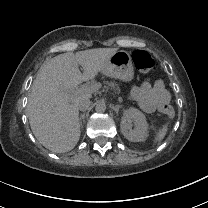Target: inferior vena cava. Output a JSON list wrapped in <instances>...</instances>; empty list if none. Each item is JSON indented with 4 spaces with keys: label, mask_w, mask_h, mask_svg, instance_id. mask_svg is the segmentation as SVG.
Returning <instances> with one entry per match:
<instances>
[{
    "label": "inferior vena cava",
    "mask_w": 208,
    "mask_h": 208,
    "mask_svg": "<svg viewBox=\"0 0 208 208\" xmlns=\"http://www.w3.org/2000/svg\"><path fill=\"white\" fill-rule=\"evenodd\" d=\"M77 104L80 111H85L90 106V99L87 96H81L78 98Z\"/></svg>",
    "instance_id": "602c4592"
}]
</instances>
